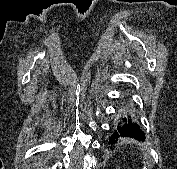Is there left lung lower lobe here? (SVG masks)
<instances>
[{
  "label": "left lung lower lobe",
  "mask_w": 177,
  "mask_h": 169,
  "mask_svg": "<svg viewBox=\"0 0 177 169\" xmlns=\"http://www.w3.org/2000/svg\"><path fill=\"white\" fill-rule=\"evenodd\" d=\"M119 137L135 138L139 141L145 140V134L137 122L134 121V117L125 110L116 122L113 130V134L109 138V144L116 143Z\"/></svg>",
  "instance_id": "left-lung-lower-lobe-1"
}]
</instances>
